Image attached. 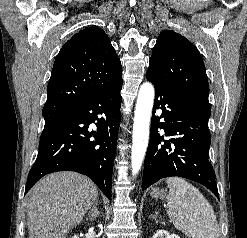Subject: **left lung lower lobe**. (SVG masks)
I'll list each match as a JSON object with an SVG mask.
<instances>
[{
	"label": "left lung lower lobe",
	"instance_id": "1",
	"mask_svg": "<svg viewBox=\"0 0 247 238\" xmlns=\"http://www.w3.org/2000/svg\"><path fill=\"white\" fill-rule=\"evenodd\" d=\"M146 77L153 83L156 94L142 188L162 178L177 176L203 184L219 198L215 172L208 159L210 115L169 92L151 75ZM158 109H161L160 116H156ZM158 129L172 138L164 140Z\"/></svg>",
	"mask_w": 247,
	"mask_h": 238
}]
</instances>
